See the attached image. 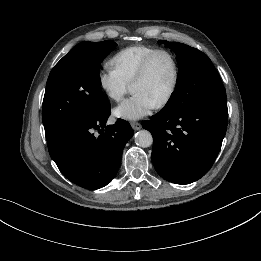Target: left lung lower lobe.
<instances>
[{"instance_id": "1", "label": "left lung lower lobe", "mask_w": 261, "mask_h": 261, "mask_svg": "<svg viewBox=\"0 0 261 261\" xmlns=\"http://www.w3.org/2000/svg\"><path fill=\"white\" fill-rule=\"evenodd\" d=\"M226 99L198 105L186 112L162 109L143 128L153 136L152 161L170 182L189 184L213 165L226 133Z\"/></svg>"}]
</instances>
